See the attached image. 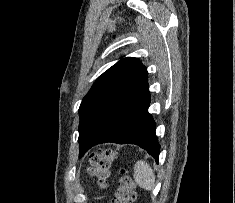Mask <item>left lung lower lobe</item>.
Wrapping results in <instances>:
<instances>
[{
  "label": "left lung lower lobe",
  "mask_w": 235,
  "mask_h": 203,
  "mask_svg": "<svg viewBox=\"0 0 235 203\" xmlns=\"http://www.w3.org/2000/svg\"><path fill=\"white\" fill-rule=\"evenodd\" d=\"M149 104L150 92L146 77L128 97L108 126L91 141L88 147L106 142L135 144L146 150L158 162L160 145L155 135L156 124L148 113Z\"/></svg>",
  "instance_id": "obj_1"
}]
</instances>
